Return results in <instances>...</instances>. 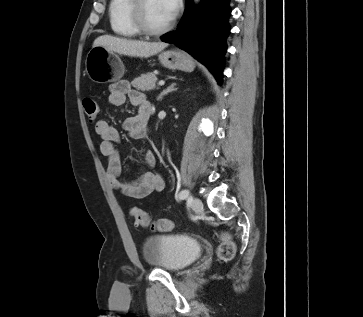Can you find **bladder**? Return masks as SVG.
<instances>
[{
	"label": "bladder",
	"instance_id": "1",
	"mask_svg": "<svg viewBox=\"0 0 363 317\" xmlns=\"http://www.w3.org/2000/svg\"><path fill=\"white\" fill-rule=\"evenodd\" d=\"M141 254L147 265L176 273L198 259L201 246L197 240L185 235H154L143 241Z\"/></svg>",
	"mask_w": 363,
	"mask_h": 317
}]
</instances>
